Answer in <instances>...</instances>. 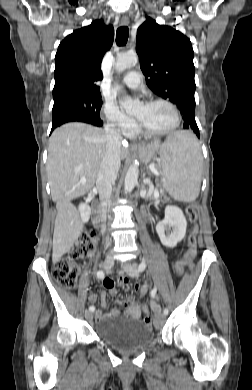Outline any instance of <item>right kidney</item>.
<instances>
[{
	"label": "right kidney",
	"mask_w": 252,
	"mask_h": 390,
	"mask_svg": "<svg viewBox=\"0 0 252 390\" xmlns=\"http://www.w3.org/2000/svg\"><path fill=\"white\" fill-rule=\"evenodd\" d=\"M79 212H80V217H81L82 222H84V223L88 222L90 219V215H91L90 206L88 204L81 203L79 205Z\"/></svg>",
	"instance_id": "right-kidney-1"
}]
</instances>
